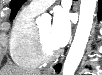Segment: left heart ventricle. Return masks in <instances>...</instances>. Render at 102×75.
Here are the masks:
<instances>
[{"label":"left heart ventricle","instance_id":"obj_1","mask_svg":"<svg viewBox=\"0 0 102 75\" xmlns=\"http://www.w3.org/2000/svg\"><path fill=\"white\" fill-rule=\"evenodd\" d=\"M43 43L45 47L48 49L49 52H54L58 48L54 46V44L51 41L50 38V31H51V25L50 24H43L39 27Z\"/></svg>","mask_w":102,"mask_h":75}]
</instances>
